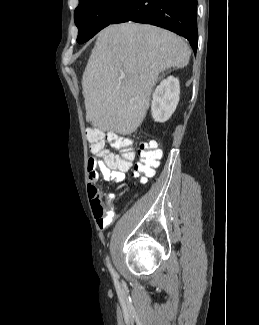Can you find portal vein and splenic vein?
<instances>
[{
  "label": "portal vein and splenic vein",
  "instance_id": "portal-vein-and-splenic-vein-1",
  "mask_svg": "<svg viewBox=\"0 0 259 325\" xmlns=\"http://www.w3.org/2000/svg\"><path fill=\"white\" fill-rule=\"evenodd\" d=\"M124 78H125V76H124V75H122V76H121V79H124Z\"/></svg>",
  "mask_w": 259,
  "mask_h": 325
}]
</instances>
